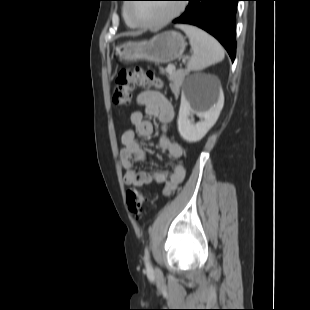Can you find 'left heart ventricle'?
<instances>
[{
	"label": "left heart ventricle",
	"mask_w": 310,
	"mask_h": 310,
	"mask_svg": "<svg viewBox=\"0 0 310 310\" xmlns=\"http://www.w3.org/2000/svg\"><path fill=\"white\" fill-rule=\"evenodd\" d=\"M175 7L169 3L133 4L130 7V14L139 21L155 23L172 14Z\"/></svg>",
	"instance_id": "1"
}]
</instances>
